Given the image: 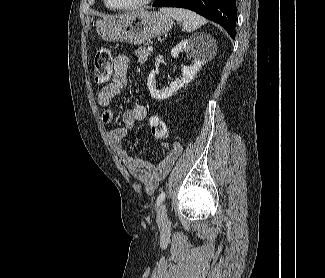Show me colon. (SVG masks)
I'll return each instance as SVG.
<instances>
[{"label": "colon", "mask_w": 325, "mask_h": 278, "mask_svg": "<svg viewBox=\"0 0 325 278\" xmlns=\"http://www.w3.org/2000/svg\"><path fill=\"white\" fill-rule=\"evenodd\" d=\"M113 72L112 54L109 49H100L94 59V79L97 84H104L110 80ZM154 137L165 139L168 135L166 122L159 116L153 115L148 121Z\"/></svg>", "instance_id": "colon-1"}]
</instances>
